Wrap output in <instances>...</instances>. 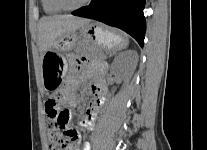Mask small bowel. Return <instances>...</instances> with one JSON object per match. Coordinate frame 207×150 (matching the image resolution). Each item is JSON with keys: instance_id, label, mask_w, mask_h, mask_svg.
I'll use <instances>...</instances> for the list:
<instances>
[{"instance_id": "obj_1", "label": "small bowel", "mask_w": 207, "mask_h": 150, "mask_svg": "<svg viewBox=\"0 0 207 150\" xmlns=\"http://www.w3.org/2000/svg\"><path fill=\"white\" fill-rule=\"evenodd\" d=\"M90 70L92 73H100L102 71V65L99 63L93 62L91 64ZM79 85V79L77 77H70L69 79V87L71 91H74L77 89ZM91 90L94 94L93 100L90 102L88 108H87V113L84 119L80 122V125L85 128V129H93L95 125V120L96 117L102 108L104 102H105V97L107 94V88L105 85L100 82L99 80H96L92 83L91 85ZM63 100L66 101L70 106H75L76 104V98L72 93H67L63 96ZM78 141V135L73 139V146L74 150L76 147V143ZM82 145V150H91V140H84Z\"/></svg>"}]
</instances>
